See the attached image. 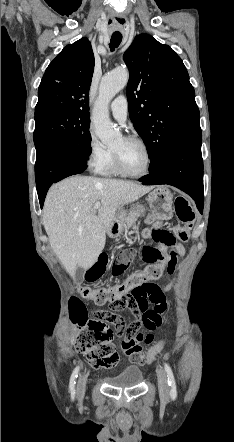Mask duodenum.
<instances>
[{
	"mask_svg": "<svg viewBox=\"0 0 234 442\" xmlns=\"http://www.w3.org/2000/svg\"><path fill=\"white\" fill-rule=\"evenodd\" d=\"M119 230H120L119 224L118 223H113V224L110 225L108 234L110 236H115V235H117L119 233Z\"/></svg>",
	"mask_w": 234,
	"mask_h": 442,
	"instance_id": "1",
	"label": "duodenum"
}]
</instances>
